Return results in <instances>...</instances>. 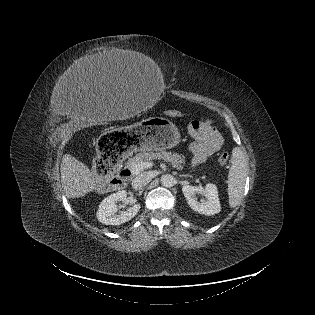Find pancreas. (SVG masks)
<instances>
[{
	"instance_id": "cf45deb5",
	"label": "pancreas",
	"mask_w": 315,
	"mask_h": 315,
	"mask_svg": "<svg viewBox=\"0 0 315 315\" xmlns=\"http://www.w3.org/2000/svg\"><path fill=\"white\" fill-rule=\"evenodd\" d=\"M156 159H163L170 162L173 167L181 170L185 165V157L177 153L167 152L165 150H157L156 152L138 153L133 158H130L126 163V168L132 169L137 163L148 162Z\"/></svg>"
}]
</instances>
